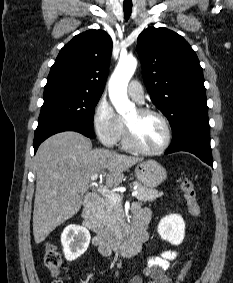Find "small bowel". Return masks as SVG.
Listing matches in <instances>:
<instances>
[{
  "mask_svg": "<svg viewBox=\"0 0 233 283\" xmlns=\"http://www.w3.org/2000/svg\"><path fill=\"white\" fill-rule=\"evenodd\" d=\"M151 212L148 208L136 207L134 210V224L141 223L145 229L149 223ZM94 244L99 247L104 256H110L111 251H103L97 237L94 238ZM178 252L175 250H162L159 254L151 256L148 265L144 270V275L151 280L149 283H171L170 277L166 271L170 268L171 262L176 260ZM132 283H142L141 277H135Z\"/></svg>",
  "mask_w": 233,
  "mask_h": 283,
  "instance_id": "obj_1",
  "label": "small bowel"
}]
</instances>
